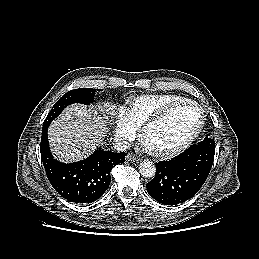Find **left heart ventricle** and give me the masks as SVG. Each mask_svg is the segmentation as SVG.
<instances>
[{
	"label": "left heart ventricle",
	"instance_id": "b2bd125f",
	"mask_svg": "<svg viewBox=\"0 0 259 259\" xmlns=\"http://www.w3.org/2000/svg\"><path fill=\"white\" fill-rule=\"evenodd\" d=\"M199 120L200 114L195 107H180L150 129L148 143L156 148L175 145L194 131Z\"/></svg>",
	"mask_w": 259,
	"mask_h": 259
}]
</instances>
